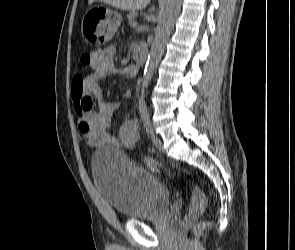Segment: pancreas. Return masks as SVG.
Here are the masks:
<instances>
[{"label":"pancreas","mask_w":295,"mask_h":250,"mask_svg":"<svg viewBox=\"0 0 295 250\" xmlns=\"http://www.w3.org/2000/svg\"><path fill=\"white\" fill-rule=\"evenodd\" d=\"M136 16H137V12H135V11H132L127 15L130 25L133 21H135Z\"/></svg>","instance_id":"1"}]
</instances>
